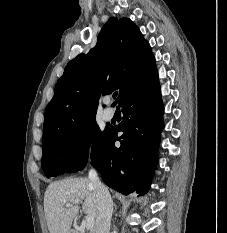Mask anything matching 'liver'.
<instances>
[{"label": "liver", "mask_w": 227, "mask_h": 233, "mask_svg": "<svg viewBox=\"0 0 227 233\" xmlns=\"http://www.w3.org/2000/svg\"><path fill=\"white\" fill-rule=\"evenodd\" d=\"M82 204L86 214L97 217L98 201L91 181L70 178L49 184L44 195V211L50 233H70L73 219ZM70 203V207H65Z\"/></svg>", "instance_id": "obj_1"}]
</instances>
